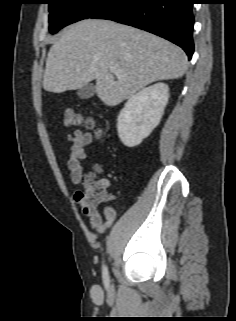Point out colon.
Returning a JSON list of instances; mask_svg holds the SVG:
<instances>
[{
  "label": "colon",
  "mask_w": 236,
  "mask_h": 321,
  "mask_svg": "<svg viewBox=\"0 0 236 321\" xmlns=\"http://www.w3.org/2000/svg\"><path fill=\"white\" fill-rule=\"evenodd\" d=\"M64 123L67 126L76 127L84 125L89 129H95L98 135L101 134L100 129L95 127L91 118L84 119L81 115L71 109L64 112ZM100 173L99 168L94 170L85 178L83 187L76 191L77 195L91 205L98 206L108 201V195L103 186L96 180L97 174Z\"/></svg>",
  "instance_id": "colon-1"
}]
</instances>
